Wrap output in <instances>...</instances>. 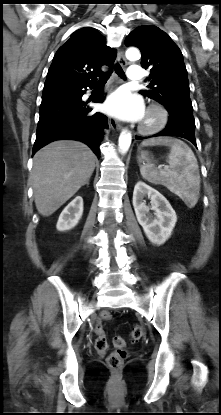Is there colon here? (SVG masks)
<instances>
[{
  "label": "colon",
  "mask_w": 221,
  "mask_h": 415,
  "mask_svg": "<svg viewBox=\"0 0 221 415\" xmlns=\"http://www.w3.org/2000/svg\"><path fill=\"white\" fill-rule=\"evenodd\" d=\"M112 315L105 311L100 314L101 320H110ZM96 339H95V348L100 351L104 352L108 348V341L106 338V335L104 333V330L102 328V325L100 321H98L93 328ZM144 335V330L141 326H135L131 331V339L133 341L140 340ZM115 351L109 354L107 357V363L109 367L114 370L118 371L122 368L124 361L127 357V351H126V341L121 336H116L113 340Z\"/></svg>",
  "instance_id": "colon-1"
}]
</instances>
